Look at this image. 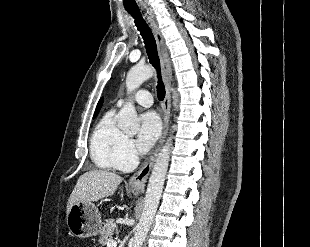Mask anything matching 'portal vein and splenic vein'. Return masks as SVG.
<instances>
[{"instance_id": "18ae733b", "label": "portal vein and splenic vein", "mask_w": 310, "mask_h": 247, "mask_svg": "<svg viewBox=\"0 0 310 247\" xmlns=\"http://www.w3.org/2000/svg\"><path fill=\"white\" fill-rule=\"evenodd\" d=\"M117 246V242L114 240H111L107 243V247H116Z\"/></svg>"}]
</instances>
